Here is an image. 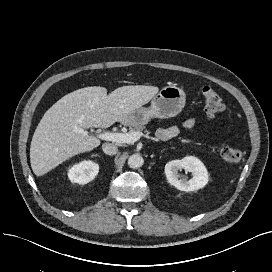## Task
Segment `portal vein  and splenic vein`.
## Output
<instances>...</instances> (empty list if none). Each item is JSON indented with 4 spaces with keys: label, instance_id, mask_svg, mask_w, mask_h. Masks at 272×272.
Here are the masks:
<instances>
[{
    "label": "portal vein and splenic vein",
    "instance_id": "18ae733b",
    "mask_svg": "<svg viewBox=\"0 0 272 272\" xmlns=\"http://www.w3.org/2000/svg\"><path fill=\"white\" fill-rule=\"evenodd\" d=\"M76 131L82 134H88L82 128L76 127ZM144 134L142 132H128V133H114V132H104L98 134V137L105 141H112L116 143H134L138 141Z\"/></svg>",
    "mask_w": 272,
    "mask_h": 272
}]
</instances>
